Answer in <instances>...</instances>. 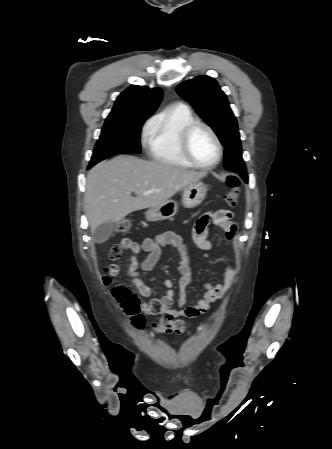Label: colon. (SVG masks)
<instances>
[{
    "label": "colon",
    "mask_w": 332,
    "mask_h": 449,
    "mask_svg": "<svg viewBox=\"0 0 332 449\" xmlns=\"http://www.w3.org/2000/svg\"><path fill=\"white\" fill-rule=\"evenodd\" d=\"M226 185L229 188L223 196L227 206L235 207L238 204L240 191L239 180L235 175H228L226 178ZM118 232L129 233L132 230V223L129 220H123L119 223ZM127 242L123 239L121 243L114 245L109 251V259L117 261L123 254V249L126 248ZM113 294L117 301L122 304L125 311L132 318L133 325L141 329L143 327V318L139 312V302L137 297L132 294L126 287L117 286L113 289ZM155 330L160 334H182L185 332V324L180 319H175L173 316L165 314L153 323Z\"/></svg>",
    "instance_id": "obj_1"
}]
</instances>
